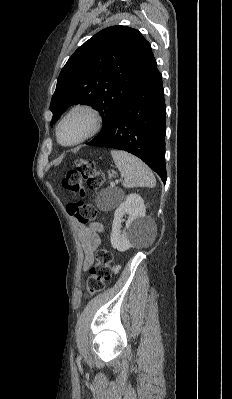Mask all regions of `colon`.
I'll use <instances>...</instances> for the list:
<instances>
[{
	"label": "colon",
	"instance_id": "colon-1",
	"mask_svg": "<svg viewBox=\"0 0 232 399\" xmlns=\"http://www.w3.org/2000/svg\"><path fill=\"white\" fill-rule=\"evenodd\" d=\"M96 160L78 159L74 163L72 175H64L62 185L68 186V191H71V196H84L86 194V180L102 184L106 182L111 184V175L102 170L94 171ZM66 208L70 214V218H78L79 222H88L95 217L96 209H90L91 203H83V198H78V203H66ZM87 208V209H86ZM94 263H90L88 269L89 278H86L84 288L86 293L94 294L95 291H103V287H107L108 277H113L114 254L110 251H99L98 247L94 248ZM107 263L108 266H107Z\"/></svg>",
	"mask_w": 232,
	"mask_h": 399
}]
</instances>
